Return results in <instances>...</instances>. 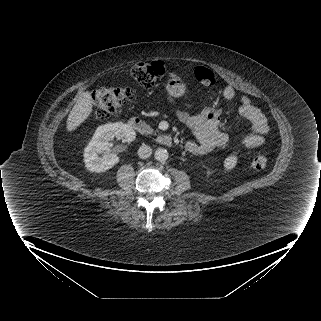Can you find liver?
<instances>
[{"instance_id":"obj_1","label":"liver","mask_w":321,"mask_h":321,"mask_svg":"<svg viewBox=\"0 0 321 321\" xmlns=\"http://www.w3.org/2000/svg\"><path fill=\"white\" fill-rule=\"evenodd\" d=\"M93 100L91 93L86 91L81 94L76 104L70 111L67 121L66 129L68 132H72L79 127L92 113Z\"/></svg>"}]
</instances>
